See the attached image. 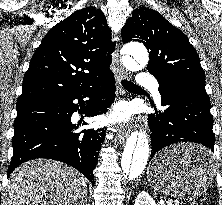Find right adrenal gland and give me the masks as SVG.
<instances>
[{
	"mask_svg": "<svg viewBox=\"0 0 222 205\" xmlns=\"http://www.w3.org/2000/svg\"><path fill=\"white\" fill-rule=\"evenodd\" d=\"M87 203V198L84 199L83 205Z\"/></svg>",
	"mask_w": 222,
	"mask_h": 205,
	"instance_id": "2a0ac1e0",
	"label": "right adrenal gland"
}]
</instances>
